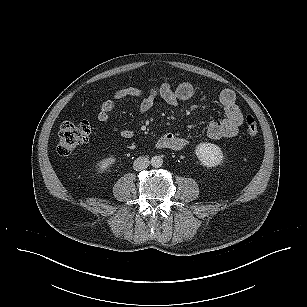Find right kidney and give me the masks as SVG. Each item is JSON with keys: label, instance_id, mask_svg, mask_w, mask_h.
Wrapping results in <instances>:
<instances>
[{"label": "right kidney", "instance_id": "ca27d5eb", "mask_svg": "<svg viewBox=\"0 0 307 307\" xmlns=\"http://www.w3.org/2000/svg\"><path fill=\"white\" fill-rule=\"evenodd\" d=\"M116 161L115 157L113 156H109L105 159H102L99 163H98V166H99V169L100 171H105L107 170V168H109L112 164H114Z\"/></svg>", "mask_w": 307, "mask_h": 307}]
</instances>
